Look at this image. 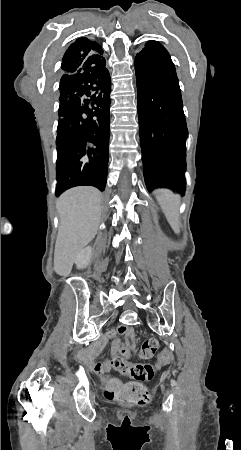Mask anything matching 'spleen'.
<instances>
[{"label":"spleen","mask_w":241,"mask_h":450,"mask_svg":"<svg viewBox=\"0 0 241 450\" xmlns=\"http://www.w3.org/2000/svg\"><path fill=\"white\" fill-rule=\"evenodd\" d=\"M155 196L172 230H174L176 234H179V224H180L178 218V208L180 204L179 194H173L171 190H156Z\"/></svg>","instance_id":"3e777b00"}]
</instances>
